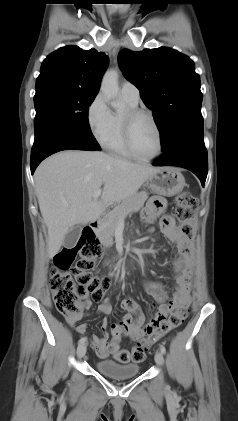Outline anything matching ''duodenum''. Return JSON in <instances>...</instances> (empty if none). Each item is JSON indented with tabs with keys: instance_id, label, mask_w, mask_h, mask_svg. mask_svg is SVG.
<instances>
[{
	"instance_id": "obj_1",
	"label": "duodenum",
	"mask_w": 238,
	"mask_h": 421,
	"mask_svg": "<svg viewBox=\"0 0 238 421\" xmlns=\"http://www.w3.org/2000/svg\"><path fill=\"white\" fill-rule=\"evenodd\" d=\"M102 224V220L99 218L94 219L90 225L85 229L84 233H91L93 234L95 231H97Z\"/></svg>"
}]
</instances>
